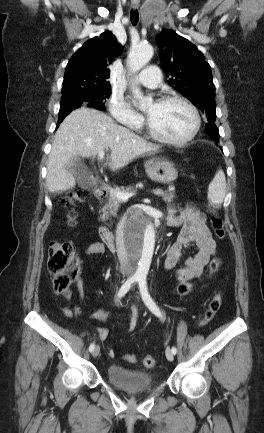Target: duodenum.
Segmentation results:
<instances>
[{"instance_id": "410a0bca", "label": "duodenum", "mask_w": 264, "mask_h": 433, "mask_svg": "<svg viewBox=\"0 0 264 433\" xmlns=\"http://www.w3.org/2000/svg\"><path fill=\"white\" fill-rule=\"evenodd\" d=\"M106 196V193L102 190V189H96L94 191V197L97 200H103ZM121 230L117 229V230H112L109 229L106 226H102L100 228V237L101 239L105 242V244L111 248L112 250H116V245H117V241H116V236H120ZM122 251L125 253V261H123V266H124V270H128L129 269V252L124 249V247H122Z\"/></svg>"}]
</instances>
